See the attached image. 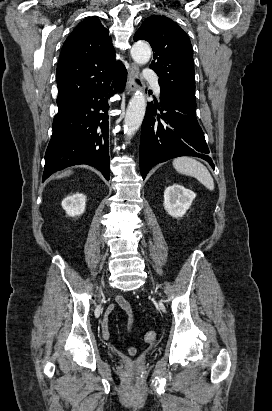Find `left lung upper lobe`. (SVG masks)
Listing matches in <instances>:
<instances>
[{"label": "left lung upper lobe", "instance_id": "obj_1", "mask_svg": "<svg viewBox=\"0 0 272 411\" xmlns=\"http://www.w3.org/2000/svg\"><path fill=\"white\" fill-rule=\"evenodd\" d=\"M140 39L154 51L149 67L159 76L161 91L196 105L193 51L184 30L165 16L153 15L136 32L134 40Z\"/></svg>", "mask_w": 272, "mask_h": 411}]
</instances>
